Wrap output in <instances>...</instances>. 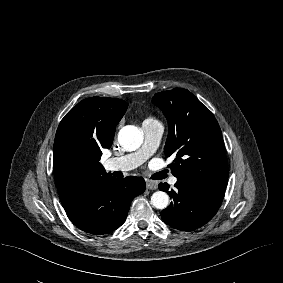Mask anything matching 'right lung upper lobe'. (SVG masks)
Returning a JSON list of instances; mask_svg holds the SVG:
<instances>
[{
  "instance_id": "right-lung-upper-lobe-1",
  "label": "right lung upper lobe",
  "mask_w": 283,
  "mask_h": 283,
  "mask_svg": "<svg viewBox=\"0 0 283 283\" xmlns=\"http://www.w3.org/2000/svg\"><path fill=\"white\" fill-rule=\"evenodd\" d=\"M128 104L121 99L90 97L61 120L55 140L53 169L64 209L71 207L96 180L110 176L99 162L110 148L115 128Z\"/></svg>"
}]
</instances>
